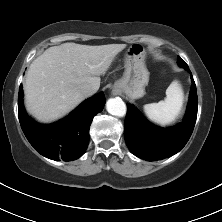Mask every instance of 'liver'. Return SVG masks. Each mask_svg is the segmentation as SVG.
<instances>
[{"mask_svg": "<svg viewBox=\"0 0 222 222\" xmlns=\"http://www.w3.org/2000/svg\"><path fill=\"white\" fill-rule=\"evenodd\" d=\"M125 48V44L76 43L48 48L31 63L26 75L28 112L43 123L66 115L84 100L80 87L90 84L98 90L100 75L106 73L115 56Z\"/></svg>", "mask_w": 222, "mask_h": 222, "instance_id": "1", "label": "liver"}]
</instances>
